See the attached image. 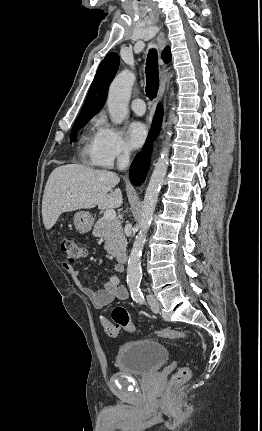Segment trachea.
Returning a JSON list of instances; mask_svg holds the SVG:
<instances>
[{
    "mask_svg": "<svg viewBox=\"0 0 262 431\" xmlns=\"http://www.w3.org/2000/svg\"><path fill=\"white\" fill-rule=\"evenodd\" d=\"M159 88L158 54L156 49H151L146 62V96L154 99Z\"/></svg>",
    "mask_w": 262,
    "mask_h": 431,
    "instance_id": "obj_1",
    "label": "trachea"
}]
</instances>
